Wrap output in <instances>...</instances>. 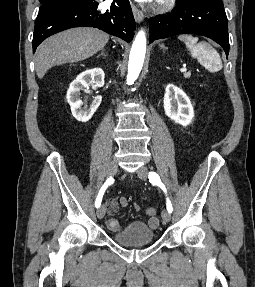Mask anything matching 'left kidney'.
I'll return each instance as SVG.
<instances>
[{
    "instance_id": "obj_1",
    "label": "left kidney",
    "mask_w": 255,
    "mask_h": 287,
    "mask_svg": "<svg viewBox=\"0 0 255 287\" xmlns=\"http://www.w3.org/2000/svg\"><path fill=\"white\" fill-rule=\"evenodd\" d=\"M164 112L170 120H174L176 124L188 126L194 118L192 104L181 88H177L174 84H168L164 94Z\"/></svg>"
}]
</instances>
